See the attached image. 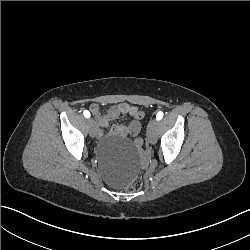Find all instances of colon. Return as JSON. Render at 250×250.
Listing matches in <instances>:
<instances>
[{
  "instance_id": "5ec220e1",
  "label": "colon",
  "mask_w": 250,
  "mask_h": 250,
  "mask_svg": "<svg viewBox=\"0 0 250 250\" xmlns=\"http://www.w3.org/2000/svg\"><path fill=\"white\" fill-rule=\"evenodd\" d=\"M135 117L138 119V120H141L143 117H144V114L141 112V111H138L136 114H135ZM133 143L136 145V146H142L144 143H145V140L142 138V137H136L134 140H133ZM144 187V180L142 178H135L133 180V182L131 183V186L130 185H127L125 188H124V191L127 193V194H130L132 191L133 192H140Z\"/></svg>"
}]
</instances>
